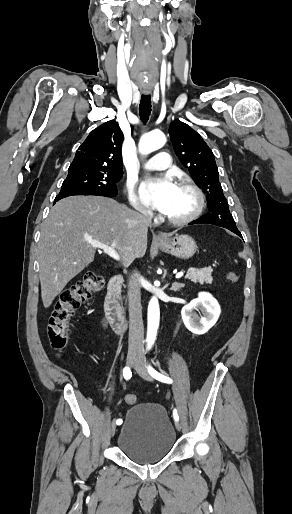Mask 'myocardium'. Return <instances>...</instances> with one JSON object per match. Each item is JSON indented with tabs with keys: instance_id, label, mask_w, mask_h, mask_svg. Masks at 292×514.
<instances>
[{
	"instance_id": "obj_1",
	"label": "myocardium",
	"mask_w": 292,
	"mask_h": 514,
	"mask_svg": "<svg viewBox=\"0 0 292 514\" xmlns=\"http://www.w3.org/2000/svg\"><path fill=\"white\" fill-rule=\"evenodd\" d=\"M179 188L190 191L195 199V204L191 212L182 217H174L167 213L164 214L166 219L173 224H184L195 219L202 211L204 204V197L200 188L191 180L185 179L178 184Z\"/></svg>"
}]
</instances>
